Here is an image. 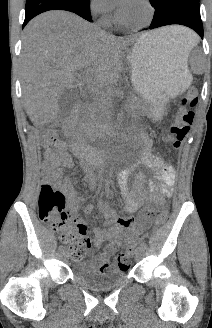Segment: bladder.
Returning <instances> with one entry per match:
<instances>
[{
	"label": "bladder",
	"instance_id": "obj_1",
	"mask_svg": "<svg viewBox=\"0 0 212 328\" xmlns=\"http://www.w3.org/2000/svg\"><path fill=\"white\" fill-rule=\"evenodd\" d=\"M74 277L86 288L94 291H105L121 285L127 278L124 270H112L101 273L91 267L90 260L77 259L72 264Z\"/></svg>",
	"mask_w": 212,
	"mask_h": 328
}]
</instances>
